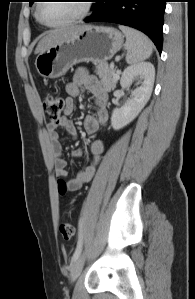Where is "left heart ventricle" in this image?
Here are the masks:
<instances>
[{
  "mask_svg": "<svg viewBox=\"0 0 195 299\" xmlns=\"http://www.w3.org/2000/svg\"><path fill=\"white\" fill-rule=\"evenodd\" d=\"M83 1H48L41 6V15L49 23H61L82 11Z\"/></svg>",
  "mask_w": 195,
  "mask_h": 299,
  "instance_id": "left-heart-ventricle-1",
  "label": "left heart ventricle"
}]
</instances>
